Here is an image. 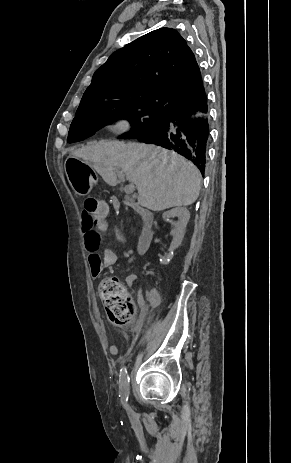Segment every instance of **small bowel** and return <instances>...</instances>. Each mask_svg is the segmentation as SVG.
Returning a JSON list of instances; mask_svg holds the SVG:
<instances>
[{"label": "small bowel", "mask_w": 291, "mask_h": 463, "mask_svg": "<svg viewBox=\"0 0 291 463\" xmlns=\"http://www.w3.org/2000/svg\"><path fill=\"white\" fill-rule=\"evenodd\" d=\"M107 217H98L96 220L97 226L95 229H84L83 230V247L88 254V267L89 274L93 279H97L101 276L103 269L112 267L119 260V256L112 249H105L102 253L99 252L102 235L108 229ZM118 238L124 241V237L118 233ZM137 282V276L135 274H129L125 278L127 286L131 287ZM138 306L140 311V321L143 317L144 301L142 291L138 294ZM110 353L112 355H118L120 353L119 345L115 344L111 346Z\"/></svg>", "instance_id": "obj_1"}]
</instances>
